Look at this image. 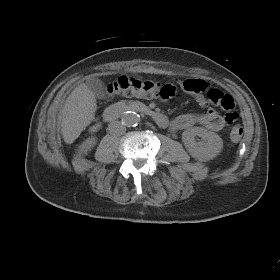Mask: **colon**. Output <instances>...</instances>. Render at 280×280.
<instances>
[{"instance_id": "5ec220e1", "label": "colon", "mask_w": 280, "mask_h": 280, "mask_svg": "<svg viewBox=\"0 0 280 280\" xmlns=\"http://www.w3.org/2000/svg\"><path fill=\"white\" fill-rule=\"evenodd\" d=\"M107 91L111 94L127 97L143 96L166 100L175 95L176 87L172 84L159 83L129 76H120L107 86ZM207 97L211 103L220 106L226 111L224 118L225 123L227 125H232L230 138L233 141H239L244 130L242 124L239 122L240 113L236 109L233 98L223 94L218 89L209 90Z\"/></svg>"}]
</instances>
